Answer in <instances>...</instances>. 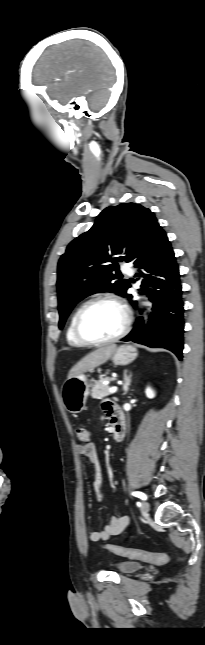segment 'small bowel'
<instances>
[{
    "instance_id": "obj_1",
    "label": "small bowel",
    "mask_w": 205,
    "mask_h": 645,
    "mask_svg": "<svg viewBox=\"0 0 205 645\" xmlns=\"http://www.w3.org/2000/svg\"><path fill=\"white\" fill-rule=\"evenodd\" d=\"M114 409L115 405L111 402H105L103 404V410L105 411L110 421L112 420ZM77 451L81 456H84L94 467L93 487L96 493L97 500L101 501L103 498L102 472L96 447L93 444H90L86 447L79 446L77 448ZM130 524L131 519L129 516H111L108 523L102 529L94 530L90 533L89 540L91 542L107 541L112 536L123 533L126 529L129 528Z\"/></svg>"
}]
</instances>
